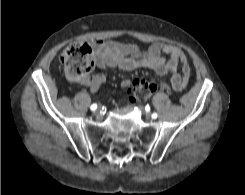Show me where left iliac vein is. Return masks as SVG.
<instances>
[{
	"label": "left iliac vein",
	"instance_id": "4c4485c4",
	"mask_svg": "<svg viewBox=\"0 0 245 195\" xmlns=\"http://www.w3.org/2000/svg\"><path fill=\"white\" fill-rule=\"evenodd\" d=\"M148 117H150V114H146Z\"/></svg>",
	"mask_w": 245,
	"mask_h": 195
}]
</instances>
